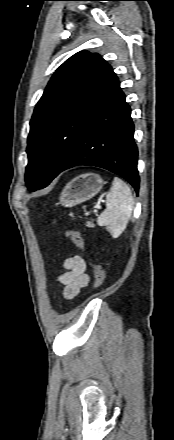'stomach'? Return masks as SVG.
Masks as SVG:
<instances>
[{"label": "stomach", "mask_w": 174, "mask_h": 440, "mask_svg": "<svg viewBox=\"0 0 174 440\" xmlns=\"http://www.w3.org/2000/svg\"><path fill=\"white\" fill-rule=\"evenodd\" d=\"M104 180L96 173H84L72 179L60 195V204L73 207L94 197L103 187Z\"/></svg>", "instance_id": "1"}]
</instances>
